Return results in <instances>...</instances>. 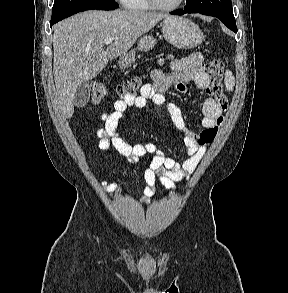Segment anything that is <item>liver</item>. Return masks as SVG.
<instances>
[{"label": "liver", "instance_id": "6515ba94", "mask_svg": "<svg viewBox=\"0 0 288 293\" xmlns=\"http://www.w3.org/2000/svg\"><path fill=\"white\" fill-rule=\"evenodd\" d=\"M168 15L133 10H89L57 23L53 29V74L60 108L74 113L77 88L96 77L109 61L126 54L135 41ZM114 42L104 49V40Z\"/></svg>", "mask_w": 288, "mask_h": 293}]
</instances>
